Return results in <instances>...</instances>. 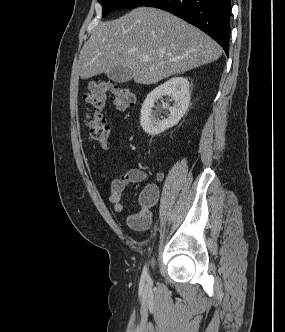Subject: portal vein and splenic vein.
Returning a JSON list of instances; mask_svg holds the SVG:
<instances>
[{"label":"portal vein and splenic vein","mask_w":285,"mask_h":332,"mask_svg":"<svg viewBox=\"0 0 285 332\" xmlns=\"http://www.w3.org/2000/svg\"><path fill=\"white\" fill-rule=\"evenodd\" d=\"M142 60H143L144 62H147V61L149 60V57H148V56H144V57L142 58Z\"/></svg>","instance_id":"obj_1"}]
</instances>
